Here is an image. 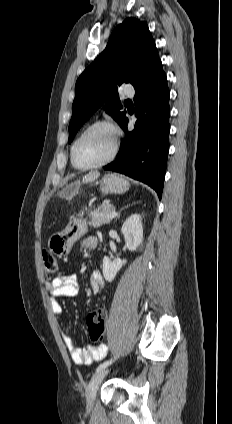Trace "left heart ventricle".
Segmentation results:
<instances>
[{
	"mask_svg": "<svg viewBox=\"0 0 232 424\" xmlns=\"http://www.w3.org/2000/svg\"><path fill=\"white\" fill-rule=\"evenodd\" d=\"M113 147V134L106 128H96L85 135L75 151L77 164L87 166L104 159Z\"/></svg>",
	"mask_w": 232,
	"mask_h": 424,
	"instance_id": "left-heart-ventricle-1",
	"label": "left heart ventricle"
}]
</instances>
